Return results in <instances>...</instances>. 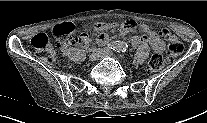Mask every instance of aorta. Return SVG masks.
<instances>
[{
  "mask_svg": "<svg viewBox=\"0 0 207 123\" xmlns=\"http://www.w3.org/2000/svg\"><path fill=\"white\" fill-rule=\"evenodd\" d=\"M117 49L118 50H124L126 49V45L124 42H120L118 45H117Z\"/></svg>",
  "mask_w": 207,
  "mask_h": 123,
  "instance_id": "obj_1",
  "label": "aorta"
}]
</instances>
